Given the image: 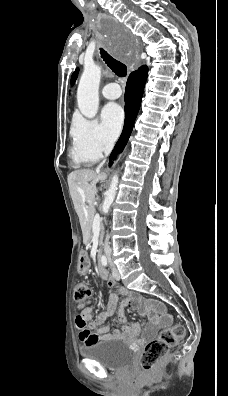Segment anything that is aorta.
<instances>
[{"label": "aorta", "mask_w": 228, "mask_h": 396, "mask_svg": "<svg viewBox=\"0 0 228 396\" xmlns=\"http://www.w3.org/2000/svg\"><path fill=\"white\" fill-rule=\"evenodd\" d=\"M101 78V68L98 65H85L81 76L78 90L77 102L80 112L87 118H94L99 106V83ZM118 185V175L112 177L109 189L106 192L102 205V211L107 214L115 198Z\"/></svg>", "instance_id": "obj_1"}]
</instances>
